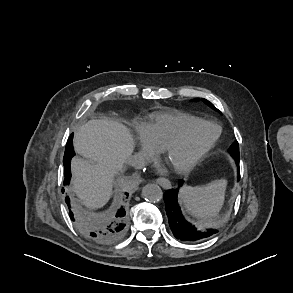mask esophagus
Masks as SVG:
<instances>
[{"label":"esophagus","mask_w":293,"mask_h":293,"mask_svg":"<svg viewBox=\"0 0 293 293\" xmlns=\"http://www.w3.org/2000/svg\"><path fill=\"white\" fill-rule=\"evenodd\" d=\"M139 181H143V180L140 179ZM156 182H157L158 184H160L161 186H163V187H166V186H169V185H170V181L167 180V179H165V178H158V179L156 180Z\"/></svg>","instance_id":"1"}]
</instances>
